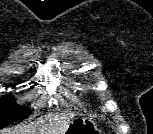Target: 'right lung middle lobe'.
Returning a JSON list of instances; mask_svg holds the SVG:
<instances>
[{"label": "right lung middle lobe", "instance_id": "obj_1", "mask_svg": "<svg viewBox=\"0 0 153 134\" xmlns=\"http://www.w3.org/2000/svg\"><path fill=\"white\" fill-rule=\"evenodd\" d=\"M30 114V110L16 105L14 99L6 95L0 101V129Z\"/></svg>", "mask_w": 153, "mask_h": 134}]
</instances>
